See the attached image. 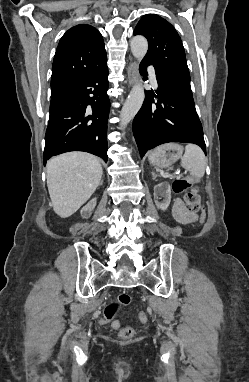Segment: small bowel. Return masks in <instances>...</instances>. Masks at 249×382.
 Returning <instances> with one entry per match:
<instances>
[{
  "instance_id": "1",
  "label": "small bowel",
  "mask_w": 249,
  "mask_h": 382,
  "mask_svg": "<svg viewBox=\"0 0 249 382\" xmlns=\"http://www.w3.org/2000/svg\"><path fill=\"white\" fill-rule=\"evenodd\" d=\"M174 215L182 224H191L196 221V216L185 209L181 200H176L174 203Z\"/></svg>"
}]
</instances>
